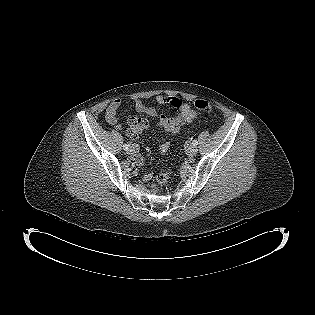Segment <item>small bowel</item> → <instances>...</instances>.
Wrapping results in <instances>:
<instances>
[{
  "label": "small bowel",
  "mask_w": 315,
  "mask_h": 315,
  "mask_svg": "<svg viewBox=\"0 0 315 315\" xmlns=\"http://www.w3.org/2000/svg\"><path fill=\"white\" fill-rule=\"evenodd\" d=\"M155 101L159 104H168L177 111V115L175 117H168L165 115H161L159 117L157 125L167 133H177L181 126L191 123L197 117V112L191 108L190 103L177 96L157 95L155 96ZM122 103V99H115L108 105L105 111L106 121L115 126L117 129L121 128L117 118V111L121 107ZM134 104L138 112L149 117L158 116L157 110L154 107L146 105L142 99H135ZM148 126L149 121L147 119H142L140 122L132 124L127 129V134L131 138H136ZM133 148V160L137 164H143V157L137 152V148L135 146H133ZM168 149L169 143L166 142L161 146L160 153L165 154ZM151 178L152 173L150 171H146L142 176L144 181H149Z\"/></svg>",
  "instance_id": "small-bowel-1"
}]
</instances>
